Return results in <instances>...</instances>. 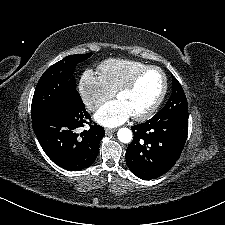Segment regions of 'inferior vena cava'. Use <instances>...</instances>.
Instances as JSON below:
<instances>
[{"mask_svg": "<svg viewBox=\"0 0 225 225\" xmlns=\"http://www.w3.org/2000/svg\"><path fill=\"white\" fill-rule=\"evenodd\" d=\"M90 107H91L92 109H94V108H96V105L92 104Z\"/></svg>", "mask_w": 225, "mask_h": 225, "instance_id": "602c4592", "label": "inferior vena cava"}]
</instances>
